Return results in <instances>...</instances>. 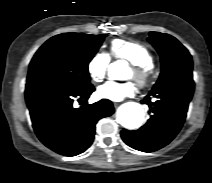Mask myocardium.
I'll list each match as a JSON object with an SVG mask.
<instances>
[{
    "label": "myocardium",
    "mask_w": 212,
    "mask_h": 183,
    "mask_svg": "<svg viewBox=\"0 0 212 183\" xmlns=\"http://www.w3.org/2000/svg\"><path fill=\"white\" fill-rule=\"evenodd\" d=\"M131 70L134 75V80L140 87H145L149 83L153 73L151 66L132 64Z\"/></svg>",
    "instance_id": "obj_1"
}]
</instances>
